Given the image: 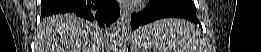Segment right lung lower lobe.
Wrapping results in <instances>:
<instances>
[{
  "mask_svg": "<svg viewBox=\"0 0 261 52\" xmlns=\"http://www.w3.org/2000/svg\"><path fill=\"white\" fill-rule=\"evenodd\" d=\"M57 13L77 15L107 28L120 15L115 0H41V16Z\"/></svg>",
  "mask_w": 261,
  "mask_h": 52,
  "instance_id": "98d812e1",
  "label": "right lung lower lobe"
}]
</instances>
